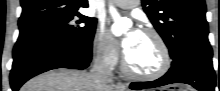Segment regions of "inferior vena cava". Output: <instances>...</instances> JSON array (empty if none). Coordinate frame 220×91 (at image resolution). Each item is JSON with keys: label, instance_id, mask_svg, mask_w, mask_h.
I'll return each mask as SVG.
<instances>
[{"label": "inferior vena cava", "instance_id": "inferior-vena-cava-1", "mask_svg": "<svg viewBox=\"0 0 220 91\" xmlns=\"http://www.w3.org/2000/svg\"><path fill=\"white\" fill-rule=\"evenodd\" d=\"M90 76L97 88H103L113 82L112 68L104 61L103 57L98 56L94 60ZM101 90V89H98Z\"/></svg>", "mask_w": 220, "mask_h": 91}]
</instances>
